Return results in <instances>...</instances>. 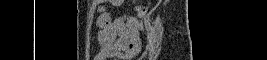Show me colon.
Wrapping results in <instances>:
<instances>
[{"instance_id":"colon-1","label":"colon","mask_w":267,"mask_h":60,"mask_svg":"<svg viewBox=\"0 0 267 60\" xmlns=\"http://www.w3.org/2000/svg\"><path fill=\"white\" fill-rule=\"evenodd\" d=\"M138 2H146V1H138Z\"/></svg>"}]
</instances>
